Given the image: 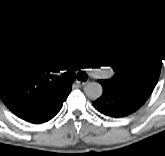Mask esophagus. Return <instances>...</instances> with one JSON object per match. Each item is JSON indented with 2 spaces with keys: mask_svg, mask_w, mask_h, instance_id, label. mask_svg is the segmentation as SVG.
I'll list each match as a JSON object with an SVG mask.
<instances>
[{
  "mask_svg": "<svg viewBox=\"0 0 165 156\" xmlns=\"http://www.w3.org/2000/svg\"><path fill=\"white\" fill-rule=\"evenodd\" d=\"M86 83L87 82H84V81H75L74 86L81 87V86H84Z\"/></svg>",
  "mask_w": 165,
  "mask_h": 156,
  "instance_id": "esophagus-1",
  "label": "esophagus"
}]
</instances>
